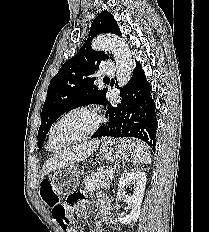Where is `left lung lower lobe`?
<instances>
[{
  "label": "left lung lower lobe",
  "instance_id": "left-lung-lower-lobe-1",
  "mask_svg": "<svg viewBox=\"0 0 209 232\" xmlns=\"http://www.w3.org/2000/svg\"><path fill=\"white\" fill-rule=\"evenodd\" d=\"M151 86L146 81L141 65L137 63L132 78L121 88V103L112 106L107 102L109 121L101 126L92 138L134 137L146 142L153 150L156 145L157 117Z\"/></svg>",
  "mask_w": 209,
  "mask_h": 232
}]
</instances>
